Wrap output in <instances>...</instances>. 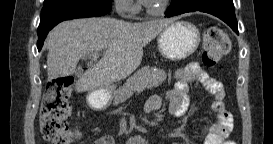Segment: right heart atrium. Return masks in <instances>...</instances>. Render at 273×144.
I'll return each instance as SVG.
<instances>
[{"instance_id": "1", "label": "right heart atrium", "mask_w": 273, "mask_h": 144, "mask_svg": "<svg viewBox=\"0 0 273 144\" xmlns=\"http://www.w3.org/2000/svg\"><path fill=\"white\" fill-rule=\"evenodd\" d=\"M114 5L118 11L124 14H134L138 10L132 0H114Z\"/></svg>"}]
</instances>
